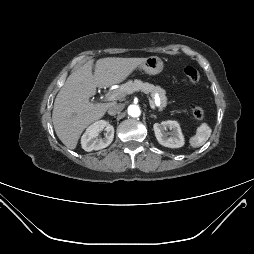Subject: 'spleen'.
I'll return each mask as SVG.
<instances>
[{"instance_id": "spleen-1", "label": "spleen", "mask_w": 254, "mask_h": 254, "mask_svg": "<svg viewBox=\"0 0 254 254\" xmlns=\"http://www.w3.org/2000/svg\"><path fill=\"white\" fill-rule=\"evenodd\" d=\"M212 133V129L210 128V126L206 123H202L196 131V134L190 138V145L193 148H198L203 146L207 140L209 139V137L211 136Z\"/></svg>"}]
</instances>
